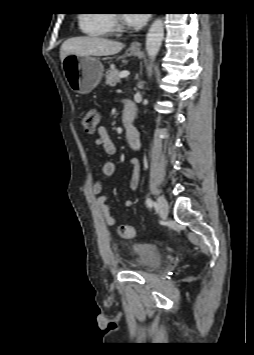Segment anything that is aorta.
I'll return each mask as SVG.
<instances>
[{
    "label": "aorta",
    "instance_id": "762f6f07",
    "mask_svg": "<svg viewBox=\"0 0 254 355\" xmlns=\"http://www.w3.org/2000/svg\"><path fill=\"white\" fill-rule=\"evenodd\" d=\"M164 37V26L162 19H156L146 36V51L151 59H154L161 47L162 40Z\"/></svg>",
    "mask_w": 254,
    "mask_h": 355
}]
</instances>
